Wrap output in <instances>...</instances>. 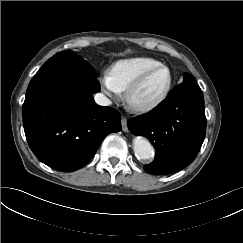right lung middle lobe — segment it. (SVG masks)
I'll return each mask as SVG.
<instances>
[{"label": "right lung middle lobe", "mask_w": 243, "mask_h": 243, "mask_svg": "<svg viewBox=\"0 0 243 243\" xmlns=\"http://www.w3.org/2000/svg\"><path fill=\"white\" fill-rule=\"evenodd\" d=\"M56 72L96 76L95 69L87 61L74 52L66 50L51 57L37 73L51 74Z\"/></svg>", "instance_id": "dd1d6c3e"}]
</instances>
